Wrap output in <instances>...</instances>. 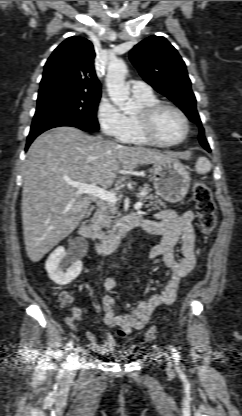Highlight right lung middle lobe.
I'll list each match as a JSON object with an SVG mask.
<instances>
[{
  "instance_id": "right-lung-middle-lobe-1",
  "label": "right lung middle lobe",
  "mask_w": 242,
  "mask_h": 416,
  "mask_svg": "<svg viewBox=\"0 0 242 416\" xmlns=\"http://www.w3.org/2000/svg\"><path fill=\"white\" fill-rule=\"evenodd\" d=\"M101 94L57 90L39 95L31 128L50 122L72 120L88 130H98L96 111Z\"/></svg>"
}]
</instances>
